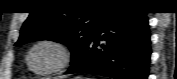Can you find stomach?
<instances>
[{
	"instance_id": "0dacf381",
	"label": "stomach",
	"mask_w": 177,
	"mask_h": 79,
	"mask_svg": "<svg viewBox=\"0 0 177 79\" xmlns=\"http://www.w3.org/2000/svg\"><path fill=\"white\" fill-rule=\"evenodd\" d=\"M74 79H84V78H83V77L78 76V77H75Z\"/></svg>"
}]
</instances>
